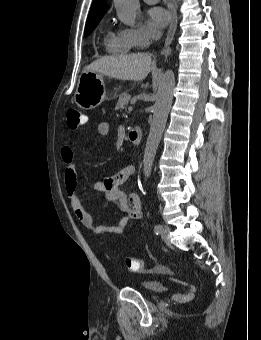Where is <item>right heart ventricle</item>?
<instances>
[{
  "instance_id": "obj_1",
  "label": "right heart ventricle",
  "mask_w": 261,
  "mask_h": 340,
  "mask_svg": "<svg viewBox=\"0 0 261 340\" xmlns=\"http://www.w3.org/2000/svg\"><path fill=\"white\" fill-rule=\"evenodd\" d=\"M104 45L107 52L112 54H127L136 47L123 31H108L104 39Z\"/></svg>"
}]
</instances>
